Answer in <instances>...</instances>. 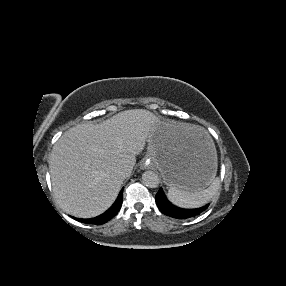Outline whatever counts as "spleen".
Segmentation results:
<instances>
[{"mask_svg": "<svg viewBox=\"0 0 286 286\" xmlns=\"http://www.w3.org/2000/svg\"><path fill=\"white\" fill-rule=\"evenodd\" d=\"M220 181L215 178L210 186L204 190L189 192L170 186L167 196L176 206L182 208H196L207 203L218 191Z\"/></svg>", "mask_w": 286, "mask_h": 286, "instance_id": "1", "label": "spleen"}]
</instances>
